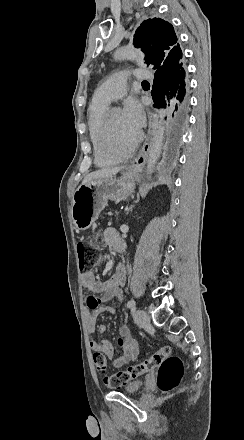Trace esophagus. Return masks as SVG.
Returning <instances> with one entry per match:
<instances>
[{"instance_id": "34e87169", "label": "esophagus", "mask_w": 244, "mask_h": 440, "mask_svg": "<svg viewBox=\"0 0 244 440\" xmlns=\"http://www.w3.org/2000/svg\"><path fill=\"white\" fill-rule=\"evenodd\" d=\"M155 123H156L155 114H154V112L150 111L149 112V117H148V134H147V138H146V140H145V142H144L140 152L138 153L137 157L134 158V160L127 167V169L131 173L139 172L144 167V165L146 163V160H147V157H148V152L150 151V147H151V143H152Z\"/></svg>"}]
</instances>
